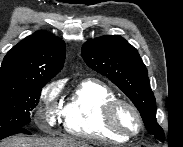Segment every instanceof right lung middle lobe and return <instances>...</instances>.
<instances>
[{"label": "right lung middle lobe", "mask_w": 183, "mask_h": 147, "mask_svg": "<svg viewBox=\"0 0 183 147\" xmlns=\"http://www.w3.org/2000/svg\"><path fill=\"white\" fill-rule=\"evenodd\" d=\"M46 83L45 80H37L22 85L0 86V136L30 123V112L37 106Z\"/></svg>", "instance_id": "right-lung-middle-lobe-1"}]
</instances>
